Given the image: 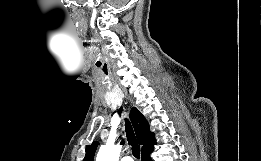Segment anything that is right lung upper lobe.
Returning <instances> with one entry per match:
<instances>
[{"instance_id": "1", "label": "right lung upper lobe", "mask_w": 261, "mask_h": 161, "mask_svg": "<svg viewBox=\"0 0 261 161\" xmlns=\"http://www.w3.org/2000/svg\"><path fill=\"white\" fill-rule=\"evenodd\" d=\"M130 119L132 121L135 133L140 145H142V154L153 150V146L156 144L154 134L149 130V124L144 116L136 109L132 108L130 112ZM98 142H93L86 147V155L83 161H93Z\"/></svg>"}]
</instances>
